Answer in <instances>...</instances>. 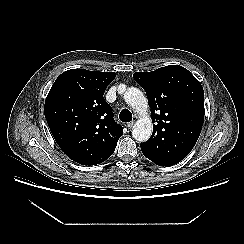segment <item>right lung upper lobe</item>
Listing matches in <instances>:
<instances>
[{"label": "right lung upper lobe", "mask_w": 244, "mask_h": 244, "mask_svg": "<svg viewBox=\"0 0 244 244\" xmlns=\"http://www.w3.org/2000/svg\"><path fill=\"white\" fill-rule=\"evenodd\" d=\"M114 72L71 69L62 73L49 91L44 113L62 151L81 165H96L114 152L123 128L114 121L104 100Z\"/></svg>", "instance_id": "right-lung-upper-lobe-1"}]
</instances>
